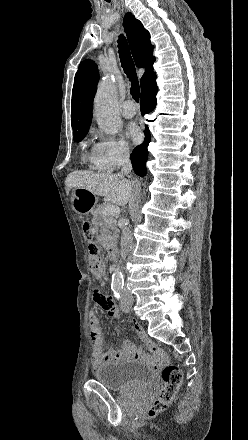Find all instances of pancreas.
Instances as JSON below:
<instances>
[{"label":"pancreas","instance_id":"1","mask_svg":"<svg viewBox=\"0 0 248 440\" xmlns=\"http://www.w3.org/2000/svg\"><path fill=\"white\" fill-rule=\"evenodd\" d=\"M106 206L107 205L100 206L98 209H96L93 212V215L97 221H102L115 227L117 222L115 216H108L103 213V210L105 209Z\"/></svg>","mask_w":248,"mask_h":440}]
</instances>
